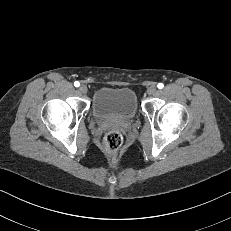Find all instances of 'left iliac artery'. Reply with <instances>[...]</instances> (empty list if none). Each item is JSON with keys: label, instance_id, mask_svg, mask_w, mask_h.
I'll list each match as a JSON object with an SVG mask.
<instances>
[{"label": "left iliac artery", "instance_id": "left-iliac-artery-1", "mask_svg": "<svg viewBox=\"0 0 231 231\" xmlns=\"http://www.w3.org/2000/svg\"><path fill=\"white\" fill-rule=\"evenodd\" d=\"M157 87H158L159 89H162V88L164 87V85H163L162 83H159V84L157 85Z\"/></svg>", "mask_w": 231, "mask_h": 231}]
</instances>
